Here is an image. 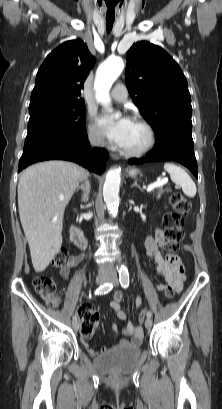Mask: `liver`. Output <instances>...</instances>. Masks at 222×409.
Listing matches in <instances>:
<instances>
[{"label":"liver","mask_w":222,"mask_h":409,"mask_svg":"<svg viewBox=\"0 0 222 409\" xmlns=\"http://www.w3.org/2000/svg\"><path fill=\"white\" fill-rule=\"evenodd\" d=\"M85 173L75 163L52 160L20 174L19 216L36 272L44 271L61 248L63 214Z\"/></svg>","instance_id":"liver-1"}]
</instances>
